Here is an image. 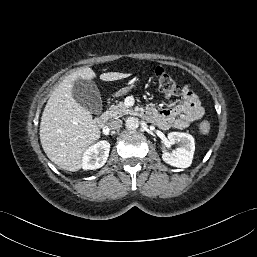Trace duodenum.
<instances>
[{
	"label": "duodenum",
	"mask_w": 257,
	"mask_h": 257,
	"mask_svg": "<svg viewBox=\"0 0 257 257\" xmlns=\"http://www.w3.org/2000/svg\"><path fill=\"white\" fill-rule=\"evenodd\" d=\"M144 114V113H143ZM145 115V114H144ZM107 117L105 114H102L95 118V124L100 128L104 129L107 126Z\"/></svg>",
	"instance_id": "1"
}]
</instances>
